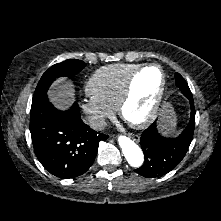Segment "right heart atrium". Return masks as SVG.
Instances as JSON below:
<instances>
[{
    "mask_svg": "<svg viewBox=\"0 0 221 221\" xmlns=\"http://www.w3.org/2000/svg\"><path fill=\"white\" fill-rule=\"evenodd\" d=\"M80 108L88 117L90 125L97 130L102 129L106 120L113 114L112 108L92 98L85 99L80 104Z\"/></svg>",
    "mask_w": 221,
    "mask_h": 221,
    "instance_id": "d8ad5b80",
    "label": "right heart atrium"
}]
</instances>
